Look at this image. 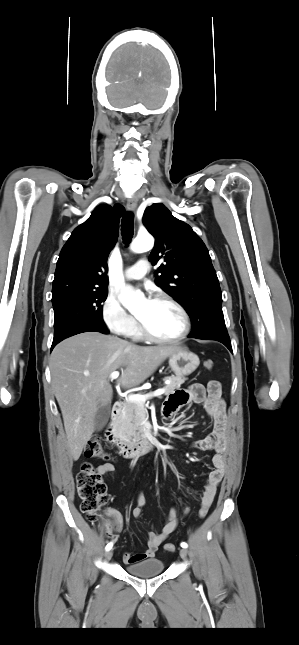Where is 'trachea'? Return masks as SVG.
Returning <instances> with one entry per match:
<instances>
[{"label": "trachea", "instance_id": "trachea-1", "mask_svg": "<svg viewBox=\"0 0 299 645\" xmlns=\"http://www.w3.org/2000/svg\"><path fill=\"white\" fill-rule=\"evenodd\" d=\"M134 216L131 212H127L121 221V234L125 244H129L134 233Z\"/></svg>", "mask_w": 299, "mask_h": 645}]
</instances>
